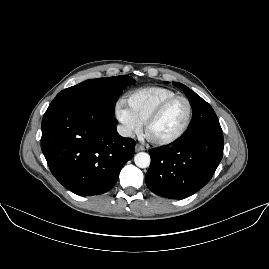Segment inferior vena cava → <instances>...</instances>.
Here are the masks:
<instances>
[{
  "label": "inferior vena cava",
  "instance_id": "602c4592",
  "mask_svg": "<svg viewBox=\"0 0 269 269\" xmlns=\"http://www.w3.org/2000/svg\"><path fill=\"white\" fill-rule=\"evenodd\" d=\"M117 131H118L119 135H121L123 137L130 138L132 136V130L126 126L119 125L117 127Z\"/></svg>",
  "mask_w": 269,
  "mask_h": 269
}]
</instances>
